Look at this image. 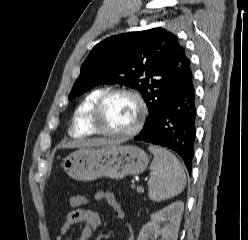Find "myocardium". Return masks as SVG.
Returning a JSON list of instances; mask_svg holds the SVG:
<instances>
[{"label":"myocardium","mask_w":248,"mask_h":240,"mask_svg":"<svg viewBox=\"0 0 248 240\" xmlns=\"http://www.w3.org/2000/svg\"><path fill=\"white\" fill-rule=\"evenodd\" d=\"M115 95H127L134 99L138 105L139 114L135 125L126 132H113L105 130L101 127V113L106 102ZM147 116V105L141 96V94L130 88H112L103 92L94 104V107L90 116V124L93 127L95 133L111 137V138H129L133 137L142 129Z\"/></svg>","instance_id":"f54148a6"}]
</instances>
